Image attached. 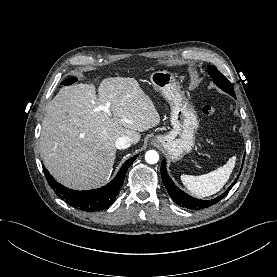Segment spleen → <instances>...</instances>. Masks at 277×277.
I'll list each match as a JSON object with an SVG mask.
<instances>
[{
    "label": "spleen",
    "mask_w": 277,
    "mask_h": 277,
    "mask_svg": "<svg viewBox=\"0 0 277 277\" xmlns=\"http://www.w3.org/2000/svg\"><path fill=\"white\" fill-rule=\"evenodd\" d=\"M235 161L236 157L233 156L222 167L204 175L192 176L183 174L181 181L195 196L199 198L211 196L220 191L229 180Z\"/></svg>",
    "instance_id": "3e777b00"
}]
</instances>
